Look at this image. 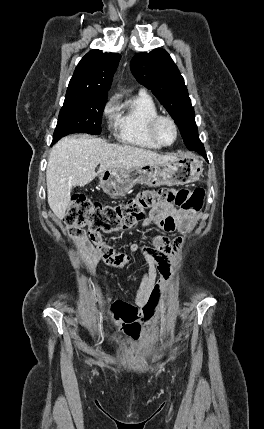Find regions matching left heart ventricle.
Here are the masks:
<instances>
[{"label":"left heart ventricle","mask_w":264,"mask_h":429,"mask_svg":"<svg viewBox=\"0 0 264 429\" xmlns=\"http://www.w3.org/2000/svg\"><path fill=\"white\" fill-rule=\"evenodd\" d=\"M158 136L164 143H171L175 133L172 125L168 121H161L158 125Z\"/></svg>","instance_id":"b2bd125f"}]
</instances>
